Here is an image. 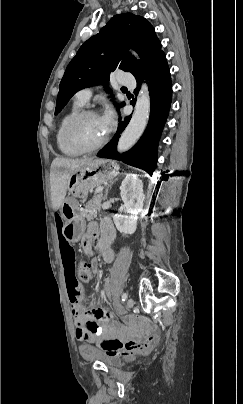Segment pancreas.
Masks as SVG:
<instances>
[{
  "instance_id": "pancreas-1",
  "label": "pancreas",
  "mask_w": 243,
  "mask_h": 404,
  "mask_svg": "<svg viewBox=\"0 0 243 404\" xmlns=\"http://www.w3.org/2000/svg\"><path fill=\"white\" fill-rule=\"evenodd\" d=\"M102 192H98V194H95L93 196L92 200L86 204L83 212L85 213L84 218H87V220H93V218H96L99 210H101V202H102Z\"/></svg>"
}]
</instances>
